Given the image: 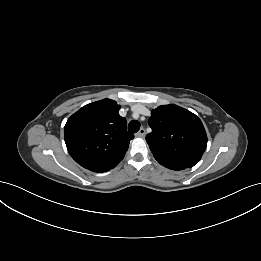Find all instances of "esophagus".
I'll return each mask as SVG.
<instances>
[{
    "label": "esophagus",
    "instance_id": "34e87169",
    "mask_svg": "<svg viewBox=\"0 0 261 261\" xmlns=\"http://www.w3.org/2000/svg\"><path fill=\"white\" fill-rule=\"evenodd\" d=\"M145 129L141 128L138 133L136 134L137 137H144L145 136Z\"/></svg>",
    "mask_w": 261,
    "mask_h": 261
}]
</instances>
